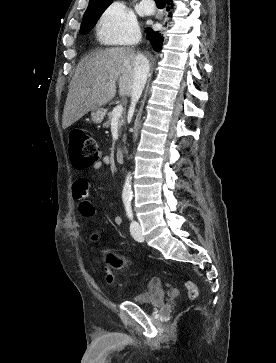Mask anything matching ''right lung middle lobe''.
Wrapping results in <instances>:
<instances>
[{"mask_svg": "<svg viewBox=\"0 0 276 363\" xmlns=\"http://www.w3.org/2000/svg\"><path fill=\"white\" fill-rule=\"evenodd\" d=\"M109 4H91L88 6L82 20L80 32L87 34L97 23L99 17L105 11Z\"/></svg>", "mask_w": 276, "mask_h": 363, "instance_id": "1", "label": "right lung middle lobe"}]
</instances>
